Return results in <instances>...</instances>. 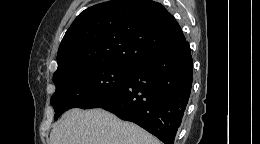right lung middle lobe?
I'll use <instances>...</instances> for the list:
<instances>
[{"mask_svg": "<svg viewBox=\"0 0 260 144\" xmlns=\"http://www.w3.org/2000/svg\"><path fill=\"white\" fill-rule=\"evenodd\" d=\"M130 71L131 67L105 64L53 76L55 120L71 108L89 109L108 99L127 82Z\"/></svg>", "mask_w": 260, "mask_h": 144, "instance_id": "obj_1", "label": "right lung middle lobe"}]
</instances>
